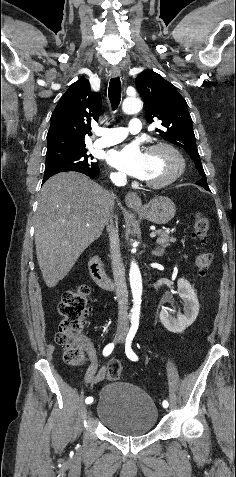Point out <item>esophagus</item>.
I'll list each match as a JSON object with an SVG mask.
<instances>
[{"label":"esophagus","instance_id":"34e87169","mask_svg":"<svg viewBox=\"0 0 236 477\" xmlns=\"http://www.w3.org/2000/svg\"><path fill=\"white\" fill-rule=\"evenodd\" d=\"M110 74L112 77H118L120 75V69L117 66L112 67ZM126 205L134 210H140L142 208V201L139 195L135 192H129L125 197Z\"/></svg>","mask_w":236,"mask_h":477}]
</instances>
